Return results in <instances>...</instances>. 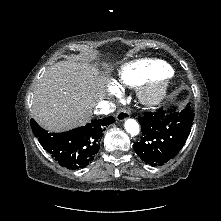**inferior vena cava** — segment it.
<instances>
[{
  "mask_svg": "<svg viewBox=\"0 0 221 221\" xmlns=\"http://www.w3.org/2000/svg\"><path fill=\"white\" fill-rule=\"evenodd\" d=\"M96 113L107 115L111 112L110 103L108 101H100L96 105Z\"/></svg>",
  "mask_w": 221,
  "mask_h": 221,
  "instance_id": "obj_1",
  "label": "inferior vena cava"
}]
</instances>
